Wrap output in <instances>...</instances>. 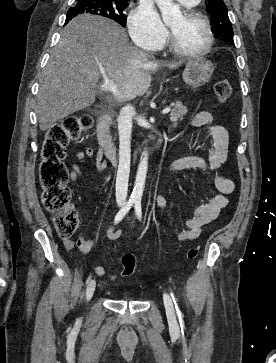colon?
Returning a JSON list of instances; mask_svg holds the SVG:
<instances>
[{"mask_svg": "<svg viewBox=\"0 0 276 363\" xmlns=\"http://www.w3.org/2000/svg\"><path fill=\"white\" fill-rule=\"evenodd\" d=\"M232 93L228 80H221L215 85V94L219 102L226 101ZM90 115L68 116L62 122L51 126L41 148L39 181L42 188L41 199L45 209L54 216V228L62 238L71 237L78 225V211L70 205L71 190L67 187L69 172L64 163L66 148L70 142L80 138L83 132L92 126ZM198 255V247L193 246L187 252L188 259ZM123 275H131L136 260L132 254L122 258Z\"/></svg>", "mask_w": 276, "mask_h": 363, "instance_id": "5ec220e1", "label": "colon"}]
</instances>
